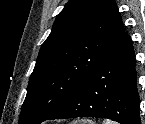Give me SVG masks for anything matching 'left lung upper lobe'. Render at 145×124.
Returning a JSON list of instances; mask_svg holds the SVG:
<instances>
[{
    "mask_svg": "<svg viewBox=\"0 0 145 124\" xmlns=\"http://www.w3.org/2000/svg\"><path fill=\"white\" fill-rule=\"evenodd\" d=\"M125 35L113 0H69L40 49L19 123L40 124L55 113Z\"/></svg>",
    "mask_w": 145,
    "mask_h": 124,
    "instance_id": "5c2ea615",
    "label": "left lung upper lobe"
}]
</instances>
